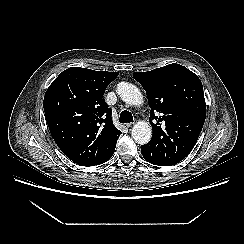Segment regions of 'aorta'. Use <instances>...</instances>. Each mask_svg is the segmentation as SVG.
<instances>
[{
	"label": "aorta",
	"mask_w": 244,
	"mask_h": 244,
	"mask_svg": "<svg viewBox=\"0 0 244 244\" xmlns=\"http://www.w3.org/2000/svg\"><path fill=\"white\" fill-rule=\"evenodd\" d=\"M117 94L129 105L139 106L143 104V95L135 85L120 82L117 86ZM152 136V128L148 122L139 121L132 128V138L138 144H147Z\"/></svg>",
	"instance_id": "762f6f07"
}]
</instances>
